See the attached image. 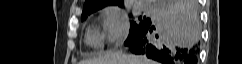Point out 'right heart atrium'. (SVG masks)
I'll return each instance as SVG.
<instances>
[{
	"label": "right heart atrium",
	"instance_id": "1",
	"mask_svg": "<svg viewBox=\"0 0 242 64\" xmlns=\"http://www.w3.org/2000/svg\"><path fill=\"white\" fill-rule=\"evenodd\" d=\"M129 30L127 15L115 6L103 10V36L109 45H118L124 41Z\"/></svg>",
	"mask_w": 242,
	"mask_h": 64
}]
</instances>
